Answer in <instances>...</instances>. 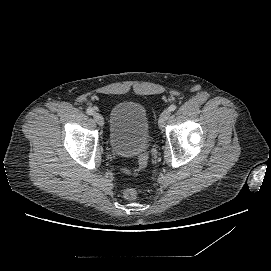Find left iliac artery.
<instances>
[{
  "instance_id": "44dca946",
  "label": "left iliac artery",
  "mask_w": 271,
  "mask_h": 271,
  "mask_svg": "<svg viewBox=\"0 0 271 271\" xmlns=\"http://www.w3.org/2000/svg\"><path fill=\"white\" fill-rule=\"evenodd\" d=\"M176 108H177L176 105L172 104V105L169 106L168 110H169L170 112H172V111H175Z\"/></svg>"
}]
</instances>
